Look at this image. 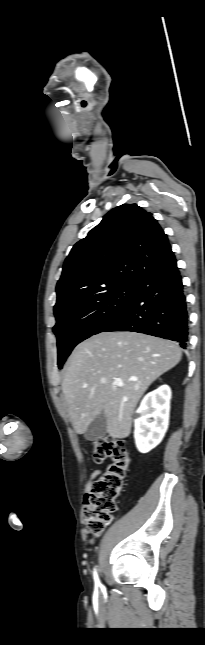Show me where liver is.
<instances>
[{
  "label": "liver",
  "instance_id": "1",
  "mask_svg": "<svg viewBox=\"0 0 205 645\" xmlns=\"http://www.w3.org/2000/svg\"><path fill=\"white\" fill-rule=\"evenodd\" d=\"M181 357L176 343L136 332H101L78 344L62 382L75 432L85 433L88 425L104 414L111 437H128L138 401ZM115 379L124 385L116 386Z\"/></svg>",
  "mask_w": 205,
  "mask_h": 645
}]
</instances>
